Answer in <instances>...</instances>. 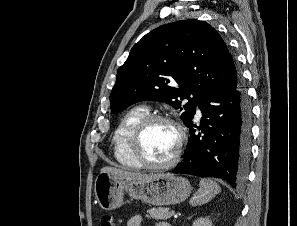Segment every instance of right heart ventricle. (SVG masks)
<instances>
[{"label":"right heart ventricle","instance_id":"obj_1","mask_svg":"<svg viewBox=\"0 0 297 226\" xmlns=\"http://www.w3.org/2000/svg\"><path fill=\"white\" fill-rule=\"evenodd\" d=\"M148 114V108L145 106L133 107L123 115L114 131V157L119 164L126 168H141L130 152L129 141L135 125Z\"/></svg>","mask_w":297,"mask_h":226}]
</instances>
